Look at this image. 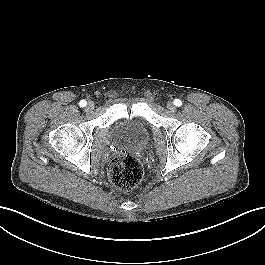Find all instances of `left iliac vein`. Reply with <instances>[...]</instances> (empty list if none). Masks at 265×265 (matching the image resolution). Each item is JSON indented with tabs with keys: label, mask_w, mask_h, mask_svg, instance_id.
<instances>
[{
	"label": "left iliac vein",
	"mask_w": 265,
	"mask_h": 265,
	"mask_svg": "<svg viewBox=\"0 0 265 265\" xmlns=\"http://www.w3.org/2000/svg\"><path fill=\"white\" fill-rule=\"evenodd\" d=\"M167 108L170 110V111H175V106H174V104L172 103V102H169L168 104H167Z\"/></svg>",
	"instance_id": "obj_1"
}]
</instances>
